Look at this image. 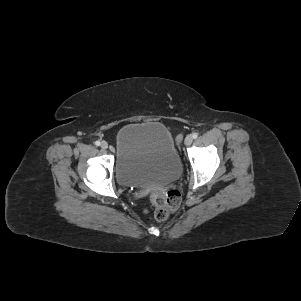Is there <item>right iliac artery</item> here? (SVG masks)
<instances>
[{"mask_svg":"<svg viewBox=\"0 0 301 301\" xmlns=\"http://www.w3.org/2000/svg\"><path fill=\"white\" fill-rule=\"evenodd\" d=\"M100 144H101L100 141H95L96 146H100Z\"/></svg>","mask_w":301,"mask_h":301,"instance_id":"obj_1","label":"right iliac artery"}]
</instances>
